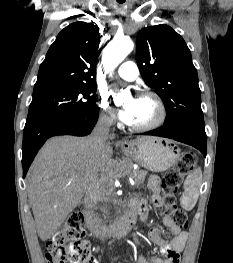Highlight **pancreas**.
Segmentation results:
<instances>
[{
  "mask_svg": "<svg viewBox=\"0 0 233 263\" xmlns=\"http://www.w3.org/2000/svg\"><path fill=\"white\" fill-rule=\"evenodd\" d=\"M147 172L144 170H133L131 172V177L135 181V187H139L144 184Z\"/></svg>",
  "mask_w": 233,
  "mask_h": 263,
  "instance_id": "cf45deb5",
  "label": "pancreas"
}]
</instances>
